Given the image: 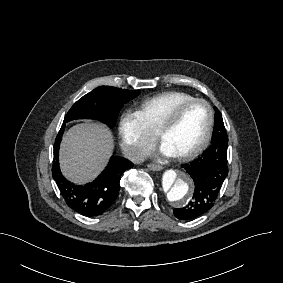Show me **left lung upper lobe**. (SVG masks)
<instances>
[{"label": "left lung upper lobe", "mask_w": 283, "mask_h": 283, "mask_svg": "<svg viewBox=\"0 0 283 283\" xmlns=\"http://www.w3.org/2000/svg\"><path fill=\"white\" fill-rule=\"evenodd\" d=\"M215 111H216L215 117H222L221 113L219 112V110L216 107H215Z\"/></svg>", "instance_id": "1"}]
</instances>
